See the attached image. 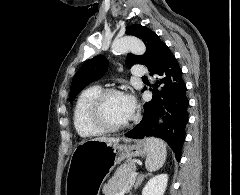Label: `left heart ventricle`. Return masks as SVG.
<instances>
[{
  "mask_svg": "<svg viewBox=\"0 0 240 195\" xmlns=\"http://www.w3.org/2000/svg\"><path fill=\"white\" fill-rule=\"evenodd\" d=\"M106 115L108 120L114 125H121L130 121L123 96L112 97L108 100Z\"/></svg>",
  "mask_w": 240,
  "mask_h": 195,
  "instance_id": "left-heart-ventricle-1",
  "label": "left heart ventricle"
}]
</instances>
